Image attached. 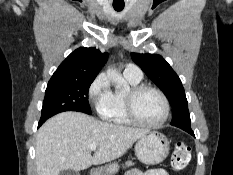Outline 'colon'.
<instances>
[{"instance_id":"1","label":"colon","mask_w":233,"mask_h":175,"mask_svg":"<svg viewBox=\"0 0 233 175\" xmlns=\"http://www.w3.org/2000/svg\"><path fill=\"white\" fill-rule=\"evenodd\" d=\"M191 159V148L185 143L174 145L171 156V167L175 172L183 170Z\"/></svg>"}]
</instances>
